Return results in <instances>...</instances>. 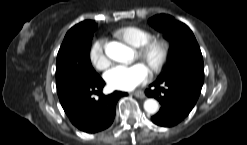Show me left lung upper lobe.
Returning a JSON list of instances; mask_svg holds the SVG:
<instances>
[{
  "label": "left lung upper lobe",
  "mask_w": 247,
  "mask_h": 145,
  "mask_svg": "<svg viewBox=\"0 0 247 145\" xmlns=\"http://www.w3.org/2000/svg\"><path fill=\"white\" fill-rule=\"evenodd\" d=\"M150 24L164 33L172 44L171 59L160 76L172 74L179 70L204 72L200 47L190 28L177 22L170 15L159 14L149 20Z\"/></svg>",
  "instance_id": "left-lung-upper-lobe-1"
}]
</instances>
